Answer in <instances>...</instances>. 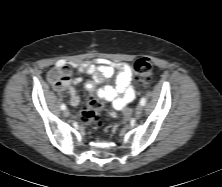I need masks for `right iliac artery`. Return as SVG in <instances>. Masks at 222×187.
Returning a JSON list of instances; mask_svg holds the SVG:
<instances>
[{"label": "right iliac artery", "mask_w": 222, "mask_h": 187, "mask_svg": "<svg viewBox=\"0 0 222 187\" xmlns=\"http://www.w3.org/2000/svg\"><path fill=\"white\" fill-rule=\"evenodd\" d=\"M60 107H61L62 110L66 109V105L65 104H62Z\"/></svg>", "instance_id": "82829eb1"}]
</instances>
